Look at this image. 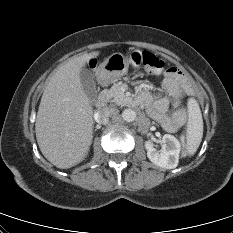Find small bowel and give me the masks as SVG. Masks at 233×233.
<instances>
[{"label":"small bowel","instance_id":"small-bowel-1","mask_svg":"<svg viewBox=\"0 0 233 233\" xmlns=\"http://www.w3.org/2000/svg\"><path fill=\"white\" fill-rule=\"evenodd\" d=\"M145 87L140 93L139 99L143 102L149 115L159 122L162 127L168 131L177 130L185 121L186 113L184 109L175 111L171 116L166 114L168 109V100L163 96L154 99ZM162 89L172 97H180L182 95L191 96L193 88L188 75L178 67H170L166 70L161 83Z\"/></svg>","mask_w":233,"mask_h":233}]
</instances>
